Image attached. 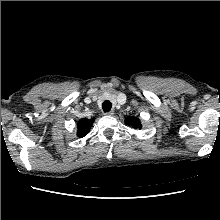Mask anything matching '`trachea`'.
Wrapping results in <instances>:
<instances>
[{
	"instance_id": "3493384b",
	"label": "trachea",
	"mask_w": 220,
	"mask_h": 220,
	"mask_svg": "<svg viewBox=\"0 0 220 220\" xmlns=\"http://www.w3.org/2000/svg\"><path fill=\"white\" fill-rule=\"evenodd\" d=\"M102 108H103L104 112L110 111L111 108H112L111 102L108 101V100L104 101L103 104H102Z\"/></svg>"
}]
</instances>
